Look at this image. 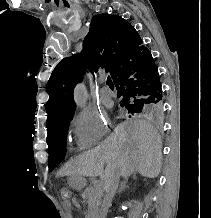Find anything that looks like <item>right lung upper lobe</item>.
<instances>
[{
  "label": "right lung upper lobe",
  "instance_id": "right-lung-upper-lobe-1",
  "mask_svg": "<svg viewBox=\"0 0 211 218\" xmlns=\"http://www.w3.org/2000/svg\"><path fill=\"white\" fill-rule=\"evenodd\" d=\"M148 49L134 27L118 15L98 14L83 41L79 56L64 58L53 70L47 83V132L62 117L75 110L73 89L87 67L91 72L105 67L116 78L121 69L135 61Z\"/></svg>",
  "mask_w": 211,
  "mask_h": 218
}]
</instances>
